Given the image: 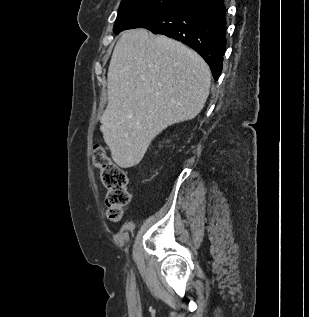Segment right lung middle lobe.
<instances>
[{
    "label": "right lung middle lobe",
    "mask_w": 309,
    "mask_h": 317,
    "mask_svg": "<svg viewBox=\"0 0 309 317\" xmlns=\"http://www.w3.org/2000/svg\"><path fill=\"white\" fill-rule=\"evenodd\" d=\"M181 0H122L113 31L118 34L135 19Z\"/></svg>",
    "instance_id": "right-lung-middle-lobe-1"
}]
</instances>
